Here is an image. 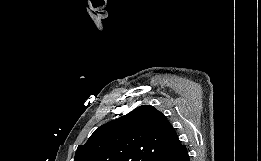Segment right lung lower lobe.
I'll use <instances>...</instances> for the list:
<instances>
[{"label": "right lung lower lobe", "mask_w": 261, "mask_h": 161, "mask_svg": "<svg viewBox=\"0 0 261 161\" xmlns=\"http://www.w3.org/2000/svg\"><path fill=\"white\" fill-rule=\"evenodd\" d=\"M151 161H190L187 149L184 145L175 151L165 153L153 158Z\"/></svg>", "instance_id": "obj_1"}]
</instances>
